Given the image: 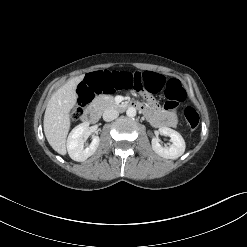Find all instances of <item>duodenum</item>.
Segmentation results:
<instances>
[{"label": "duodenum", "mask_w": 247, "mask_h": 247, "mask_svg": "<svg viewBox=\"0 0 247 247\" xmlns=\"http://www.w3.org/2000/svg\"><path fill=\"white\" fill-rule=\"evenodd\" d=\"M117 108L119 110H124L126 108H135V109L144 111L145 105L139 101H132L130 103L119 104L117 105ZM99 117H100L99 110L96 107L91 106V107H88L86 111L84 112L83 120L89 123H94L98 121Z\"/></svg>", "instance_id": "duodenum-1"}]
</instances>
